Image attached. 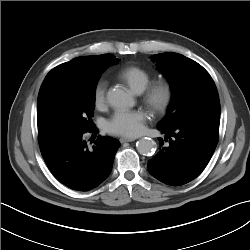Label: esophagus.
I'll return each mask as SVG.
<instances>
[{
  "mask_svg": "<svg viewBox=\"0 0 250 250\" xmlns=\"http://www.w3.org/2000/svg\"><path fill=\"white\" fill-rule=\"evenodd\" d=\"M132 141H135V139L134 138H127V137L120 138L121 143L132 142Z\"/></svg>",
  "mask_w": 250,
  "mask_h": 250,
  "instance_id": "esophagus-1",
  "label": "esophagus"
}]
</instances>
